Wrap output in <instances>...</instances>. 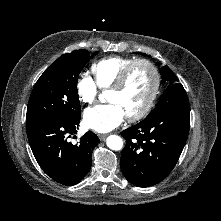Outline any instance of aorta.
I'll return each instance as SVG.
<instances>
[{"instance_id":"762f6f07","label":"aorta","mask_w":221,"mask_h":221,"mask_svg":"<svg viewBox=\"0 0 221 221\" xmlns=\"http://www.w3.org/2000/svg\"><path fill=\"white\" fill-rule=\"evenodd\" d=\"M106 145L109 149L118 151L123 147V140L118 135H110L106 139Z\"/></svg>"}]
</instances>
